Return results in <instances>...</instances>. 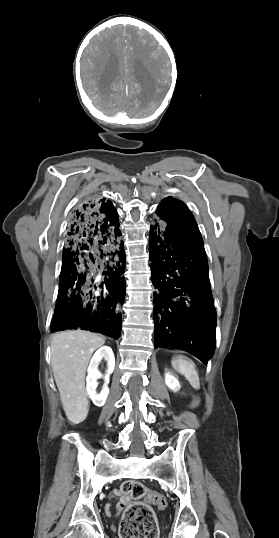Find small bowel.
Instances as JSON below:
<instances>
[{
  "mask_svg": "<svg viewBox=\"0 0 279 538\" xmlns=\"http://www.w3.org/2000/svg\"><path fill=\"white\" fill-rule=\"evenodd\" d=\"M113 499L118 500V503L116 505V513H114L111 509V504H107L105 511L108 516H117L122 512V509L125 505L126 499L121 495V492L118 490H115L111 496Z\"/></svg>",
  "mask_w": 279,
  "mask_h": 538,
  "instance_id": "1",
  "label": "small bowel"
}]
</instances>
